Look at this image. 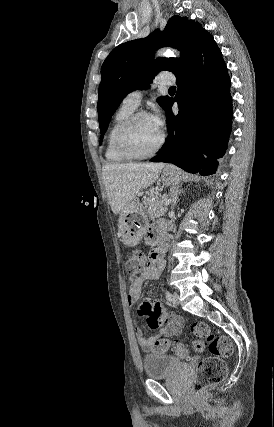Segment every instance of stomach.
Instances as JSON below:
<instances>
[{"instance_id":"stomach-1","label":"stomach","mask_w":274,"mask_h":427,"mask_svg":"<svg viewBox=\"0 0 274 427\" xmlns=\"http://www.w3.org/2000/svg\"><path fill=\"white\" fill-rule=\"evenodd\" d=\"M181 180V170L176 166H166L161 180L164 186H177ZM149 225V219L141 206L132 202L130 208L122 210L118 219L119 233L125 245H137Z\"/></svg>"}]
</instances>
